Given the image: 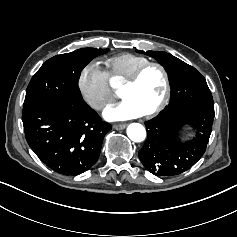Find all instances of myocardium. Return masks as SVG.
<instances>
[{
    "label": "myocardium",
    "instance_id": "obj_1",
    "mask_svg": "<svg viewBox=\"0 0 237 237\" xmlns=\"http://www.w3.org/2000/svg\"><path fill=\"white\" fill-rule=\"evenodd\" d=\"M151 67H156L162 72L163 77H164V83H165V92L160 103L153 110L143 114V116L146 118H151L158 115L160 112L164 110V108L167 106L170 100L171 80H170V75H169L168 70L161 63L148 62L147 64L137 69L126 81H124V84H123V88L127 86L135 85L140 80L142 75Z\"/></svg>",
    "mask_w": 237,
    "mask_h": 237
}]
</instances>
